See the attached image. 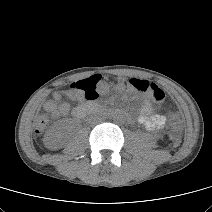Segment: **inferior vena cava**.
<instances>
[{"instance_id": "1", "label": "inferior vena cava", "mask_w": 212, "mask_h": 212, "mask_svg": "<svg viewBox=\"0 0 212 212\" xmlns=\"http://www.w3.org/2000/svg\"><path fill=\"white\" fill-rule=\"evenodd\" d=\"M96 120H97V117H94V116L87 117V122L88 123H95Z\"/></svg>"}]
</instances>
